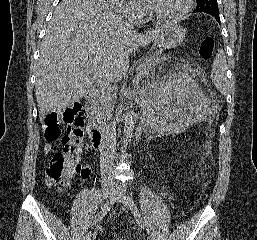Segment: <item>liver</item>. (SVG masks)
Returning a JSON list of instances; mask_svg holds the SVG:
<instances>
[{
    "label": "liver",
    "mask_w": 257,
    "mask_h": 240,
    "mask_svg": "<svg viewBox=\"0 0 257 240\" xmlns=\"http://www.w3.org/2000/svg\"><path fill=\"white\" fill-rule=\"evenodd\" d=\"M163 27L137 33L104 0H62L40 48L35 84L40 116L61 112L87 95L94 82L122 79L130 54Z\"/></svg>",
    "instance_id": "obj_1"
}]
</instances>
